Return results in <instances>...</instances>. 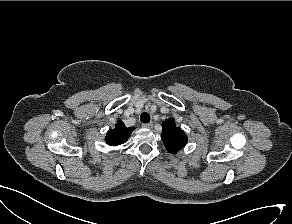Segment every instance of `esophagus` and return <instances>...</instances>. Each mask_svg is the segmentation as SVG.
Instances as JSON below:
<instances>
[{"label":"esophagus","instance_id":"34e87169","mask_svg":"<svg viewBox=\"0 0 292 224\" xmlns=\"http://www.w3.org/2000/svg\"><path fill=\"white\" fill-rule=\"evenodd\" d=\"M143 127L144 128H152L153 127V123L150 122V123L143 124Z\"/></svg>","mask_w":292,"mask_h":224}]
</instances>
